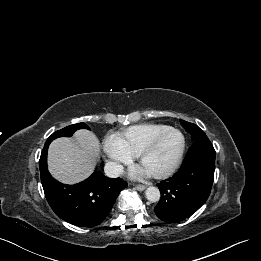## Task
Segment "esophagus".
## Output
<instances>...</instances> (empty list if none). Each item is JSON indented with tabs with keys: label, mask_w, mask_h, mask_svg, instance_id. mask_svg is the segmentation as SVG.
<instances>
[{
	"label": "esophagus",
	"mask_w": 261,
	"mask_h": 261,
	"mask_svg": "<svg viewBox=\"0 0 261 261\" xmlns=\"http://www.w3.org/2000/svg\"><path fill=\"white\" fill-rule=\"evenodd\" d=\"M135 188L138 190V191H143L146 189V186L145 185H136Z\"/></svg>",
	"instance_id": "obj_1"
}]
</instances>
